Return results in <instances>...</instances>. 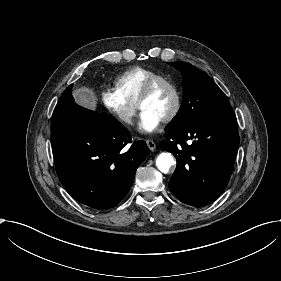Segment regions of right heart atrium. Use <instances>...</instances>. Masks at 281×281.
<instances>
[{
	"label": "right heart atrium",
	"instance_id": "d8ad5b80",
	"mask_svg": "<svg viewBox=\"0 0 281 281\" xmlns=\"http://www.w3.org/2000/svg\"><path fill=\"white\" fill-rule=\"evenodd\" d=\"M100 97L104 106L121 124L133 126L136 123L137 106L126 101L115 88H104Z\"/></svg>",
	"mask_w": 281,
	"mask_h": 281
}]
</instances>
